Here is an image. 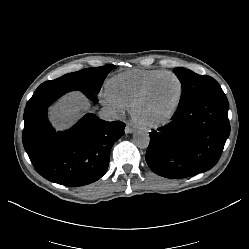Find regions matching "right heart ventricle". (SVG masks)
Wrapping results in <instances>:
<instances>
[{"label": "right heart ventricle", "instance_id": "1", "mask_svg": "<svg viewBox=\"0 0 249 249\" xmlns=\"http://www.w3.org/2000/svg\"><path fill=\"white\" fill-rule=\"evenodd\" d=\"M164 69H131L114 75L106 82V93L129 107L133 99L153 77Z\"/></svg>", "mask_w": 249, "mask_h": 249}]
</instances>
